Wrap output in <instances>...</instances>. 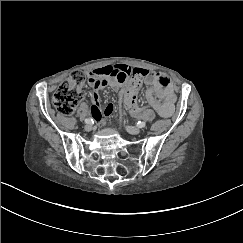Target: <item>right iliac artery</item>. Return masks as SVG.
I'll return each instance as SVG.
<instances>
[{
	"label": "right iliac artery",
	"mask_w": 243,
	"mask_h": 243,
	"mask_svg": "<svg viewBox=\"0 0 243 243\" xmlns=\"http://www.w3.org/2000/svg\"><path fill=\"white\" fill-rule=\"evenodd\" d=\"M91 122H93L92 119H90V118L85 119V123H86V124H90Z\"/></svg>",
	"instance_id": "obj_1"
}]
</instances>
